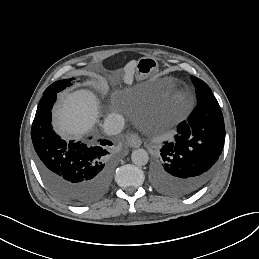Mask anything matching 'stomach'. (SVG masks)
I'll list each match as a JSON object with an SVG mask.
<instances>
[{"instance_id":"0dacf381","label":"stomach","mask_w":259,"mask_h":259,"mask_svg":"<svg viewBox=\"0 0 259 259\" xmlns=\"http://www.w3.org/2000/svg\"><path fill=\"white\" fill-rule=\"evenodd\" d=\"M158 62L154 57H141L136 64V72L140 77L151 76L158 70Z\"/></svg>"}]
</instances>
